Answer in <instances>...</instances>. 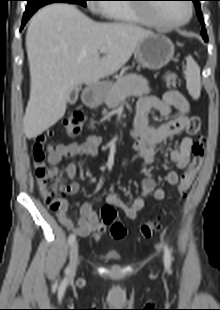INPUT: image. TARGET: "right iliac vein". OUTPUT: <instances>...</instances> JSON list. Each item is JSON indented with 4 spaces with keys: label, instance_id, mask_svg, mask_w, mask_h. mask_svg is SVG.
Here are the masks:
<instances>
[{
    "label": "right iliac vein",
    "instance_id": "obj_1",
    "mask_svg": "<svg viewBox=\"0 0 220 310\" xmlns=\"http://www.w3.org/2000/svg\"><path fill=\"white\" fill-rule=\"evenodd\" d=\"M78 263H79V248L78 243L74 242L70 250V262L66 271L67 276L69 278L74 277Z\"/></svg>",
    "mask_w": 220,
    "mask_h": 310
}]
</instances>
